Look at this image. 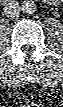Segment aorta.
Segmentation results:
<instances>
[{"instance_id":"1","label":"aorta","mask_w":63,"mask_h":107,"mask_svg":"<svg viewBox=\"0 0 63 107\" xmlns=\"http://www.w3.org/2000/svg\"><path fill=\"white\" fill-rule=\"evenodd\" d=\"M21 10L25 14H32L36 10V4L33 0H25L21 5Z\"/></svg>"}]
</instances>
